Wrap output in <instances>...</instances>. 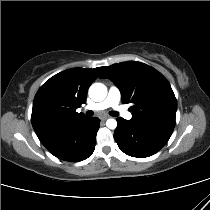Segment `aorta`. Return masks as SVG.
Returning <instances> with one entry per match:
<instances>
[{"label":"aorta","mask_w":210,"mask_h":210,"mask_svg":"<svg viewBox=\"0 0 210 210\" xmlns=\"http://www.w3.org/2000/svg\"><path fill=\"white\" fill-rule=\"evenodd\" d=\"M107 96V87L102 83H94L89 88V97L95 101H103ZM106 126L109 129H115L117 127V121L115 119H108Z\"/></svg>","instance_id":"obj_1"}]
</instances>
